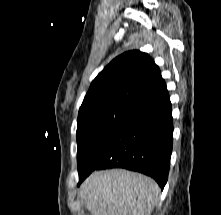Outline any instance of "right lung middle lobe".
Segmentation results:
<instances>
[{"instance_id": "1", "label": "right lung middle lobe", "mask_w": 221, "mask_h": 215, "mask_svg": "<svg viewBox=\"0 0 221 215\" xmlns=\"http://www.w3.org/2000/svg\"><path fill=\"white\" fill-rule=\"evenodd\" d=\"M135 107L121 102H92L82 105L78 115L77 164L81 173L114 131Z\"/></svg>"}]
</instances>
